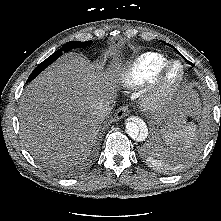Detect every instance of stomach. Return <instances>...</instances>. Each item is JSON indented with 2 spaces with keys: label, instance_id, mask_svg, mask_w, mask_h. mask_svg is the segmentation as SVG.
<instances>
[{
  "label": "stomach",
  "instance_id": "obj_1",
  "mask_svg": "<svg viewBox=\"0 0 221 221\" xmlns=\"http://www.w3.org/2000/svg\"><path fill=\"white\" fill-rule=\"evenodd\" d=\"M187 114V105L184 94L180 100L173 104L166 105L162 112L156 116V128L160 133L173 130L184 124Z\"/></svg>",
  "mask_w": 221,
  "mask_h": 221
}]
</instances>
